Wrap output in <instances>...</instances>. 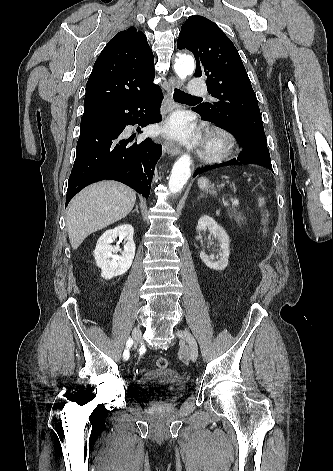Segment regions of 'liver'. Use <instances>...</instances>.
<instances>
[{"mask_svg":"<svg viewBox=\"0 0 333 471\" xmlns=\"http://www.w3.org/2000/svg\"><path fill=\"white\" fill-rule=\"evenodd\" d=\"M136 202V192L116 181L94 183L71 201L66 227L71 246L76 250L84 239L127 216Z\"/></svg>","mask_w":333,"mask_h":471,"instance_id":"obj_1","label":"liver"}]
</instances>
